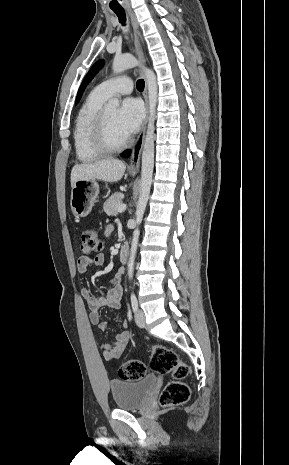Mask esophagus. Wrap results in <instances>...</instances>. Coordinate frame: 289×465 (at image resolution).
Returning a JSON list of instances; mask_svg holds the SVG:
<instances>
[{
  "label": "esophagus",
  "instance_id": "obj_1",
  "mask_svg": "<svg viewBox=\"0 0 289 465\" xmlns=\"http://www.w3.org/2000/svg\"><path fill=\"white\" fill-rule=\"evenodd\" d=\"M128 14L130 16V20L132 23L133 27V32H134V38H135V45L137 49V55L140 60L141 66L145 67L146 65V57L144 54V47L143 43L141 40V34H140V29H139V24L137 22L136 16L133 13L131 9H128ZM144 100H145V108H146V117L145 120L142 124L141 131L137 137V140L135 144L133 145L132 148V155L130 159V164H129V170L131 171H138L140 168V156L144 144V139H145V131H146V125L148 121V98H147V82L145 80V89H144Z\"/></svg>",
  "mask_w": 289,
  "mask_h": 465
}]
</instances>
